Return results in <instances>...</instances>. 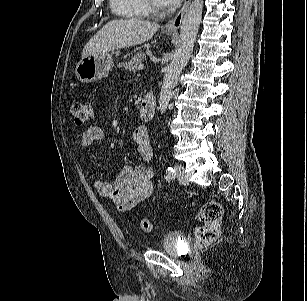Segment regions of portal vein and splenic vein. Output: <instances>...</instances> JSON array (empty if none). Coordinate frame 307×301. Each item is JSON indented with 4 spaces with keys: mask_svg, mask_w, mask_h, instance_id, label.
Here are the masks:
<instances>
[{
    "mask_svg": "<svg viewBox=\"0 0 307 301\" xmlns=\"http://www.w3.org/2000/svg\"><path fill=\"white\" fill-rule=\"evenodd\" d=\"M144 67H145V66H144L143 64H140V65L137 67V69H138V70H142V69H144Z\"/></svg>",
    "mask_w": 307,
    "mask_h": 301,
    "instance_id": "portal-vein-and-splenic-vein-1",
    "label": "portal vein and splenic vein"
}]
</instances>
